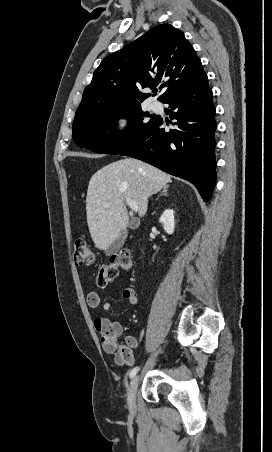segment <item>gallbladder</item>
Masks as SVG:
<instances>
[{"instance_id": "bac80fb5", "label": "gallbladder", "mask_w": 272, "mask_h": 452, "mask_svg": "<svg viewBox=\"0 0 272 452\" xmlns=\"http://www.w3.org/2000/svg\"><path fill=\"white\" fill-rule=\"evenodd\" d=\"M137 223L135 220H131L127 228L135 229ZM127 237V229L123 230L120 236L105 250L106 255H112L117 253L119 249L124 245Z\"/></svg>"}]
</instances>
